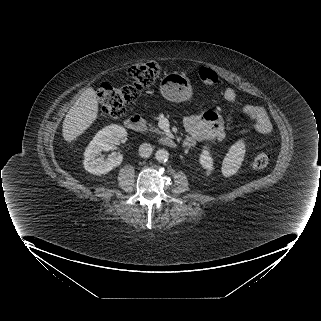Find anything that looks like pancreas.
I'll return each instance as SVG.
<instances>
[{"label": "pancreas", "mask_w": 321, "mask_h": 321, "mask_svg": "<svg viewBox=\"0 0 321 321\" xmlns=\"http://www.w3.org/2000/svg\"><path fill=\"white\" fill-rule=\"evenodd\" d=\"M149 131H150V132L157 133V134H162V132L160 131L159 128H155V127H152V126H150Z\"/></svg>", "instance_id": "obj_1"}]
</instances>
